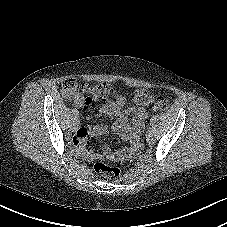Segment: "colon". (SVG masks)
Listing matches in <instances>:
<instances>
[{
	"label": "colon",
	"instance_id": "obj_1",
	"mask_svg": "<svg viewBox=\"0 0 227 227\" xmlns=\"http://www.w3.org/2000/svg\"><path fill=\"white\" fill-rule=\"evenodd\" d=\"M84 91L87 99L101 100L107 98L113 93V89L109 84L99 83L94 85L80 84L75 78L64 80L61 86L62 94L66 97H74L80 91ZM134 99L140 104H149L152 101V95L143 89H139L134 93ZM154 107L160 111H166L169 108V103L165 98H159ZM94 171L108 179L114 180L120 176V170L117 167L111 166L104 162L94 164Z\"/></svg>",
	"mask_w": 227,
	"mask_h": 227
}]
</instances>
